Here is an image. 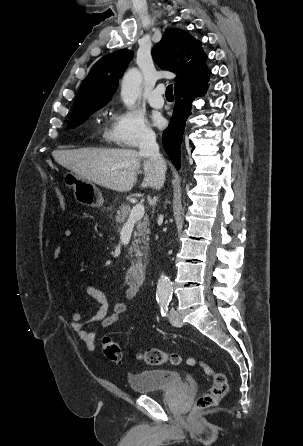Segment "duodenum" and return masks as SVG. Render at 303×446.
<instances>
[{"instance_id": "1", "label": "duodenum", "mask_w": 303, "mask_h": 446, "mask_svg": "<svg viewBox=\"0 0 303 446\" xmlns=\"http://www.w3.org/2000/svg\"><path fill=\"white\" fill-rule=\"evenodd\" d=\"M146 262L144 259H138L128 269L127 280L129 284L141 285L145 278Z\"/></svg>"}]
</instances>
